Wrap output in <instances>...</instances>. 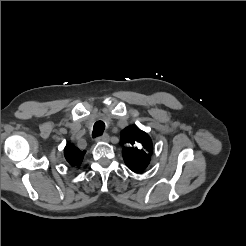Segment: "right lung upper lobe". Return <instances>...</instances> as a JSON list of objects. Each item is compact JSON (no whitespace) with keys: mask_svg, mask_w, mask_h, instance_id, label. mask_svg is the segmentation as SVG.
Masks as SVG:
<instances>
[{"mask_svg":"<svg viewBox=\"0 0 246 246\" xmlns=\"http://www.w3.org/2000/svg\"><path fill=\"white\" fill-rule=\"evenodd\" d=\"M84 154L85 151H80L70 143H68L64 149L65 158L72 167H80Z\"/></svg>","mask_w":246,"mask_h":246,"instance_id":"1","label":"right lung upper lobe"}]
</instances>
